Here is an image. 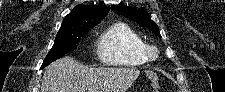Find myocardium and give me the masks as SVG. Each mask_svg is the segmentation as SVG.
<instances>
[{"instance_id": "1", "label": "myocardium", "mask_w": 225, "mask_h": 92, "mask_svg": "<svg viewBox=\"0 0 225 92\" xmlns=\"http://www.w3.org/2000/svg\"><path fill=\"white\" fill-rule=\"evenodd\" d=\"M145 52L147 59L153 61L158 57V49L153 45H146Z\"/></svg>"}]
</instances>
